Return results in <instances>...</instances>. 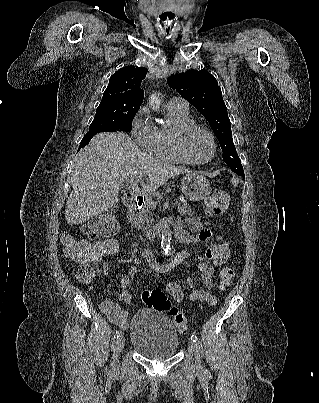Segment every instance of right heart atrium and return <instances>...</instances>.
Segmentation results:
<instances>
[{"mask_svg": "<svg viewBox=\"0 0 319 403\" xmlns=\"http://www.w3.org/2000/svg\"><path fill=\"white\" fill-rule=\"evenodd\" d=\"M131 133L135 143L144 151L153 153L156 126L149 117L148 107H141L131 120Z\"/></svg>", "mask_w": 319, "mask_h": 403, "instance_id": "d8ad5b80", "label": "right heart atrium"}]
</instances>
